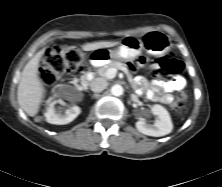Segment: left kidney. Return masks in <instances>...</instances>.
<instances>
[{"mask_svg":"<svg viewBox=\"0 0 222 187\" xmlns=\"http://www.w3.org/2000/svg\"><path fill=\"white\" fill-rule=\"evenodd\" d=\"M152 114L157 118L154 124H148L141 118L136 122V128L139 132L154 137H161L169 134L173 129V124L169 112L161 105L155 104L151 107Z\"/></svg>","mask_w":222,"mask_h":187,"instance_id":"left-kidney-1","label":"left kidney"}]
</instances>
